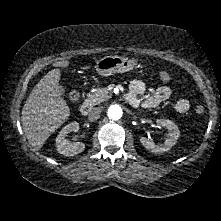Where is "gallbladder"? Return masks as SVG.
I'll return each instance as SVG.
<instances>
[{
  "mask_svg": "<svg viewBox=\"0 0 221 221\" xmlns=\"http://www.w3.org/2000/svg\"><path fill=\"white\" fill-rule=\"evenodd\" d=\"M60 93H61V95L64 94V89L63 88L60 90Z\"/></svg>",
  "mask_w": 221,
  "mask_h": 221,
  "instance_id": "obj_1",
  "label": "gallbladder"
}]
</instances>
